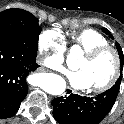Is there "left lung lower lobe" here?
<instances>
[{
	"instance_id": "obj_1",
	"label": "left lung lower lobe",
	"mask_w": 124,
	"mask_h": 124,
	"mask_svg": "<svg viewBox=\"0 0 124 124\" xmlns=\"http://www.w3.org/2000/svg\"><path fill=\"white\" fill-rule=\"evenodd\" d=\"M54 98L53 116L60 124H98L111 111L119 89L112 87L94 97L72 94Z\"/></svg>"
}]
</instances>
